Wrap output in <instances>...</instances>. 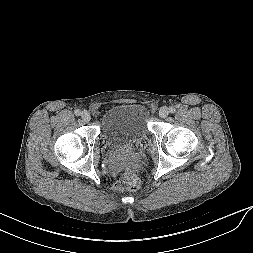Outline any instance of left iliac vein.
I'll return each instance as SVG.
<instances>
[{
	"instance_id": "obj_1",
	"label": "left iliac vein",
	"mask_w": 253,
	"mask_h": 253,
	"mask_svg": "<svg viewBox=\"0 0 253 253\" xmlns=\"http://www.w3.org/2000/svg\"><path fill=\"white\" fill-rule=\"evenodd\" d=\"M169 113H170L169 108L166 106L161 107L159 110V116L161 118H166L169 115Z\"/></svg>"
}]
</instances>
